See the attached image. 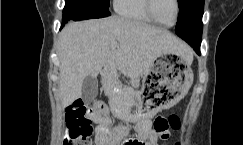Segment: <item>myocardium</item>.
<instances>
[{
  "mask_svg": "<svg viewBox=\"0 0 243 145\" xmlns=\"http://www.w3.org/2000/svg\"><path fill=\"white\" fill-rule=\"evenodd\" d=\"M174 4H175V17L171 24H163L156 18L155 13H154V0H146L147 13L150 16V18L153 20L154 23H156L160 26L169 28V27L174 26L177 23L178 18H179V12H180L179 0H174Z\"/></svg>",
  "mask_w": 243,
  "mask_h": 145,
  "instance_id": "obj_1",
  "label": "myocardium"
}]
</instances>
